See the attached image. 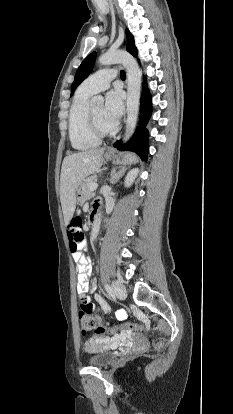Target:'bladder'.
Instances as JSON below:
<instances>
[{
  "instance_id": "bladder-1",
  "label": "bladder",
  "mask_w": 233,
  "mask_h": 414,
  "mask_svg": "<svg viewBox=\"0 0 233 414\" xmlns=\"http://www.w3.org/2000/svg\"><path fill=\"white\" fill-rule=\"evenodd\" d=\"M90 350L94 353L88 360L89 364L95 367H107L113 360L114 355L112 352L107 351L103 346L94 343L89 347Z\"/></svg>"
}]
</instances>
